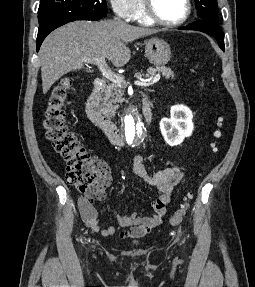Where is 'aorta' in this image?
<instances>
[{"label": "aorta", "mask_w": 255, "mask_h": 287, "mask_svg": "<svg viewBox=\"0 0 255 287\" xmlns=\"http://www.w3.org/2000/svg\"><path fill=\"white\" fill-rule=\"evenodd\" d=\"M125 138L128 144L138 143L143 136L144 124L136 110H132L124 117Z\"/></svg>", "instance_id": "762f6f07"}]
</instances>
